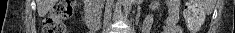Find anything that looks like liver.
<instances>
[{
  "label": "liver",
  "instance_id": "6515ba94",
  "mask_svg": "<svg viewBox=\"0 0 235 33\" xmlns=\"http://www.w3.org/2000/svg\"><path fill=\"white\" fill-rule=\"evenodd\" d=\"M37 2V10L38 14L42 17L45 16L49 9L52 7L54 1L53 0H36Z\"/></svg>",
  "mask_w": 235,
  "mask_h": 33
}]
</instances>
